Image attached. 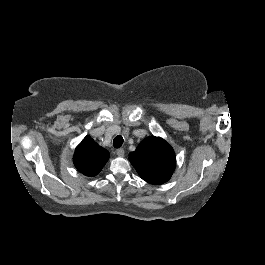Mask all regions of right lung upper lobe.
<instances>
[{
    "mask_svg": "<svg viewBox=\"0 0 265 265\" xmlns=\"http://www.w3.org/2000/svg\"><path fill=\"white\" fill-rule=\"evenodd\" d=\"M108 159V151L100 147L90 136H86L77 146L73 162L79 172L86 176H95Z\"/></svg>",
    "mask_w": 265,
    "mask_h": 265,
    "instance_id": "cb5924a9",
    "label": "right lung upper lobe"
}]
</instances>
